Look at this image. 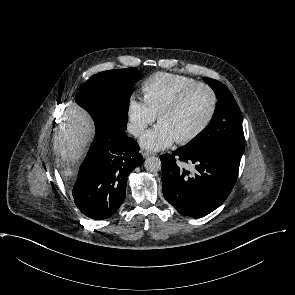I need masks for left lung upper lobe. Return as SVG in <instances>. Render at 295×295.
<instances>
[{
  "label": "left lung upper lobe",
  "instance_id": "5c2ea615",
  "mask_svg": "<svg viewBox=\"0 0 295 295\" xmlns=\"http://www.w3.org/2000/svg\"><path fill=\"white\" fill-rule=\"evenodd\" d=\"M203 80L217 95V106L208 126L181 149L186 152L221 150L241 158L245 146L241 111L224 84L206 77Z\"/></svg>",
  "mask_w": 295,
  "mask_h": 295
}]
</instances>
